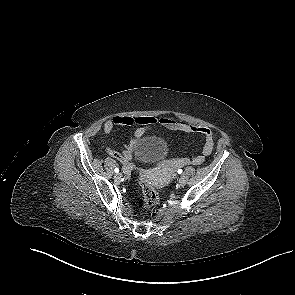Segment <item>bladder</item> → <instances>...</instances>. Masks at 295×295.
Returning <instances> with one entry per match:
<instances>
[{
  "instance_id": "1",
  "label": "bladder",
  "mask_w": 295,
  "mask_h": 295,
  "mask_svg": "<svg viewBox=\"0 0 295 295\" xmlns=\"http://www.w3.org/2000/svg\"><path fill=\"white\" fill-rule=\"evenodd\" d=\"M135 156L144 164H154L165 158L167 145L165 141L156 136L138 140L135 144Z\"/></svg>"
}]
</instances>
